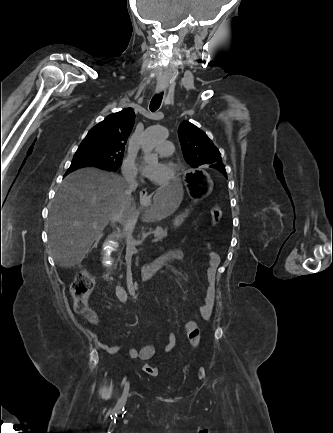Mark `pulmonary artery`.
Listing matches in <instances>:
<instances>
[{
  "label": "pulmonary artery",
  "mask_w": 333,
  "mask_h": 433,
  "mask_svg": "<svg viewBox=\"0 0 333 433\" xmlns=\"http://www.w3.org/2000/svg\"><path fill=\"white\" fill-rule=\"evenodd\" d=\"M155 151L163 156H169L173 153V144L170 141H161L156 146Z\"/></svg>",
  "instance_id": "e3ab8cb5"
}]
</instances>
